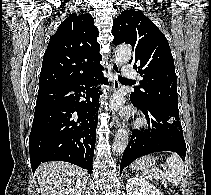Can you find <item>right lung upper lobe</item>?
I'll return each mask as SVG.
<instances>
[{
  "label": "right lung upper lobe",
  "mask_w": 211,
  "mask_h": 195,
  "mask_svg": "<svg viewBox=\"0 0 211 195\" xmlns=\"http://www.w3.org/2000/svg\"><path fill=\"white\" fill-rule=\"evenodd\" d=\"M98 29L89 13H72L50 38L39 78V90L90 76L102 66Z\"/></svg>",
  "instance_id": "1"
}]
</instances>
